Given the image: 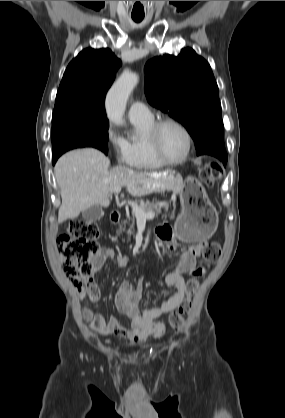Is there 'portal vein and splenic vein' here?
<instances>
[{"label":"portal vein and splenic vein","instance_id":"obj_1","mask_svg":"<svg viewBox=\"0 0 285 418\" xmlns=\"http://www.w3.org/2000/svg\"><path fill=\"white\" fill-rule=\"evenodd\" d=\"M121 191V187H116L112 190L113 193L118 194ZM129 205L132 207L133 212L135 213V217L138 221L146 222L147 219H153L155 213L153 211L145 213L137 203L129 202Z\"/></svg>","mask_w":285,"mask_h":418}]
</instances>
